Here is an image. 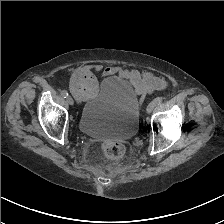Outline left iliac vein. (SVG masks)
Instances as JSON below:
<instances>
[{"label": "left iliac vein", "instance_id": "left-iliac-vein-1", "mask_svg": "<svg viewBox=\"0 0 224 224\" xmlns=\"http://www.w3.org/2000/svg\"><path fill=\"white\" fill-rule=\"evenodd\" d=\"M155 106H156V104L154 103V101L149 103V105L147 106V109H146L147 113H151L154 110Z\"/></svg>", "mask_w": 224, "mask_h": 224}]
</instances>
